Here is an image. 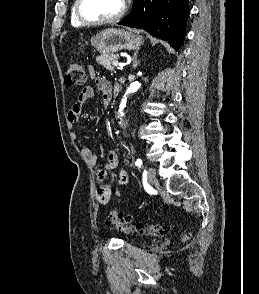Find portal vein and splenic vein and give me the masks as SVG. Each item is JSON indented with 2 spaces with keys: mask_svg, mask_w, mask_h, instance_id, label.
<instances>
[{
  "mask_svg": "<svg viewBox=\"0 0 259 294\" xmlns=\"http://www.w3.org/2000/svg\"><path fill=\"white\" fill-rule=\"evenodd\" d=\"M112 64H113V66H115V67H118V66H120V65H121V63H120V62H118V61H114Z\"/></svg>",
  "mask_w": 259,
  "mask_h": 294,
  "instance_id": "portal-vein-and-splenic-vein-1",
  "label": "portal vein and splenic vein"
}]
</instances>
